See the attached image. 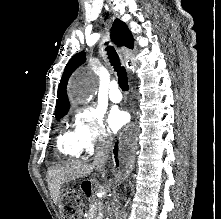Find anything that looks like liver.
Listing matches in <instances>:
<instances>
[{
    "label": "liver",
    "instance_id": "1",
    "mask_svg": "<svg viewBox=\"0 0 221 219\" xmlns=\"http://www.w3.org/2000/svg\"><path fill=\"white\" fill-rule=\"evenodd\" d=\"M96 167L93 164H87L81 161L65 163L48 169L47 182L51 198L55 204H58L61 187L63 184L79 178H85L90 175ZM110 189V184L99 186L98 193L106 195Z\"/></svg>",
    "mask_w": 221,
    "mask_h": 219
}]
</instances>
